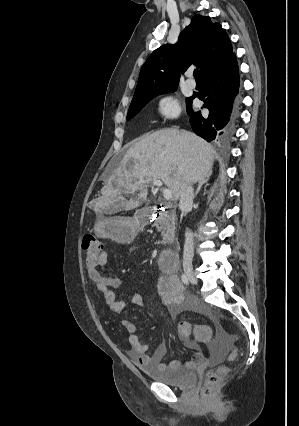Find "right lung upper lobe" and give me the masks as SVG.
<instances>
[{
  "instance_id": "1",
  "label": "right lung upper lobe",
  "mask_w": 299,
  "mask_h": 426,
  "mask_svg": "<svg viewBox=\"0 0 299 426\" xmlns=\"http://www.w3.org/2000/svg\"><path fill=\"white\" fill-rule=\"evenodd\" d=\"M229 37L208 16L195 15L175 45L165 44L149 56L140 71L133 99L177 87L181 73L197 65L201 77L233 56ZM132 99V100H133Z\"/></svg>"
}]
</instances>
